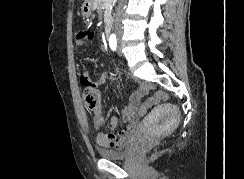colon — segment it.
Listing matches in <instances>:
<instances>
[{"label":"colon","mask_w":244,"mask_h":179,"mask_svg":"<svg viewBox=\"0 0 244 179\" xmlns=\"http://www.w3.org/2000/svg\"><path fill=\"white\" fill-rule=\"evenodd\" d=\"M83 101L89 113L98 115L100 109L99 94L93 88L83 90ZM169 101L168 93H154V96H149L148 104H138V109H152V104H158L162 100ZM140 116H149V111H140Z\"/></svg>","instance_id":"5ec220e1"}]
</instances>
